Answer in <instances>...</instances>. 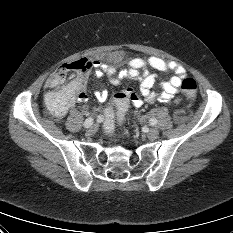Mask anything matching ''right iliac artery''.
<instances>
[{
    "instance_id": "1",
    "label": "right iliac artery",
    "mask_w": 233,
    "mask_h": 233,
    "mask_svg": "<svg viewBox=\"0 0 233 233\" xmlns=\"http://www.w3.org/2000/svg\"><path fill=\"white\" fill-rule=\"evenodd\" d=\"M93 125V119L92 118H87L84 122V127L89 128Z\"/></svg>"
}]
</instances>
